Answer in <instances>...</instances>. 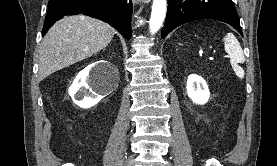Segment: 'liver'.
<instances>
[{"mask_svg": "<svg viewBox=\"0 0 277 166\" xmlns=\"http://www.w3.org/2000/svg\"><path fill=\"white\" fill-rule=\"evenodd\" d=\"M115 30L98 19L84 15L64 17L45 35L39 57V80L108 46Z\"/></svg>", "mask_w": 277, "mask_h": 166, "instance_id": "6515ba94", "label": "liver"}]
</instances>
